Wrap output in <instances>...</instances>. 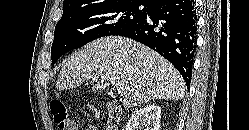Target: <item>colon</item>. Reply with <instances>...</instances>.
Returning <instances> with one entry per match:
<instances>
[{
	"mask_svg": "<svg viewBox=\"0 0 249 130\" xmlns=\"http://www.w3.org/2000/svg\"><path fill=\"white\" fill-rule=\"evenodd\" d=\"M51 112L59 130H78L79 124L77 120L71 116L61 101H52Z\"/></svg>",
	"mask_w": 249,
	"mask_h": 130,
	"instance_id": "obj_1",
	"label": "colon"
}]
</instances>
